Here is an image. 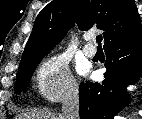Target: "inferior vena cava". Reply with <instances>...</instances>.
<instances>
[{"instance_id": "1", "label": "inferior vena cava", "mask_w": 142, "mask_h": 119, "mask_svg": "<svg viewBox=\"0 0 142 119\" xmlns=\"http://www.w3.org/2000/svg\"><path fill=\"white\" fill-rule=\"evenodd\" d=\"M62 112L64 119H80L79 117V93L77 87H72L62 100Z\"/></svg>"}]
</instances>
